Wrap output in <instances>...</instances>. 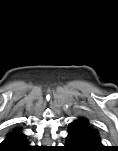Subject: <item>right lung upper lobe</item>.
<instances>
[{
    "mask_svg": "<svg viewBox=\"0 0 118 151\" xmlns=\"http://www.w3.org/2000/svg\"><path fill=\"white\" fill-rule=\"evenodd\" d=\"M25 140H26V136L24 135V133H22L19 128L14 129L5 138L4 140L5 145H0V150L4 151L5 147L6 150L8 149L16 150L15 147L17 148V146L22 142H24Z\"/></svg>",
    "mask_w": 118,
    "mask_h": 151,
    "instance_id": "right-lung-upper-lobe-1",
    "label": "right lung upper lobe"
}]
</instances>
